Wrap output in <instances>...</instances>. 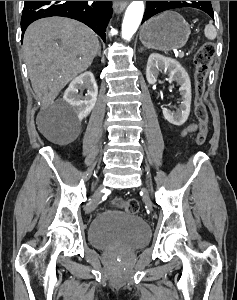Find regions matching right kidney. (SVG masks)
<instances>
[{"mask_svg":"<svg viewBox=\"0 0 237 300\" xmlns=\"http://www.w3.org/2000/svg\"><path fill=\"white\" fill-rule=\"evenodd\" d=\"M84 89H87L85 97L82 93H79ZM97 95L98 87L94 75L90 71H86V73H82V75L73 79L68 89H66L63 99L73 107L79 121H82L94 109Z\"/></svg>","mask_w":237,"mask_h":300,"instance_id":"1","label":"right kidney"}]
</instances>
